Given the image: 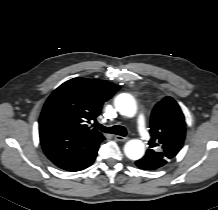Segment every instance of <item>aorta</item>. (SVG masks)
I'll list each match as a JSON object with an SVG mask.
<instances>
[{"instance_id":"aorta-1","label":"aorta","mask_w":218,"mask_h":210,"mask_svg":"<svg viewBox=\"0 0 218 210\" xmlns=\"http://www.w3.org/2000/svg\"><path fill=\"white\" fill-rule=\"evenodd\" d=\"M117 111L126 117H134L137 112L136 101L128 93L119 94L114 101ZM125 155L131 160H139L145 154V146L141 140H129L124 146Z\"/></svg>"}]
</instances>
